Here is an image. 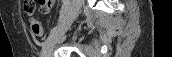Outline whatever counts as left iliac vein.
Returning a JSON list of instances; mask_svg holds the SVG:
<instances>
[{
  "label": "left iliac vein",
  "instance_id": "obj_1",
  "mask_svg": "<svg viewBox=\"0 0 172 57\" xmlns=\"http://www.w3.org/2000/svg\"><path fill=\"white\" fill-rule=\"evenodd\" d=\"M83 1L73 0L63 21L54 27L46 38L42 48V57H50L54 46L61 36L68 30L82 7Z\"/></svg>",
  "mask_w": 172,
  "mask_h": 57
}]
</instances>
